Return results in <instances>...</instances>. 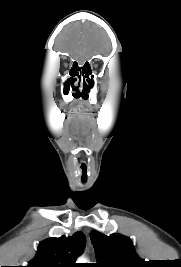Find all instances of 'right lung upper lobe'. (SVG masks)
<instances>
[{"label":"right lung upper lobe","mask_w":181,"mask_h":267,"mask_svg":"<svg viewBox=\"0 0 181 267\" xmlns=\"http://www.w3.org/2000/svg\"><path fill=\"white\" fill-rule=\"evenodd\" d=\"M85 243L81 232L70 237L48 238L39 243L37 254L27 267H76L74 262L83 252Z\"/></svg>","instance_id":"right-lung-upper-lobe-1"}]
</instances>
